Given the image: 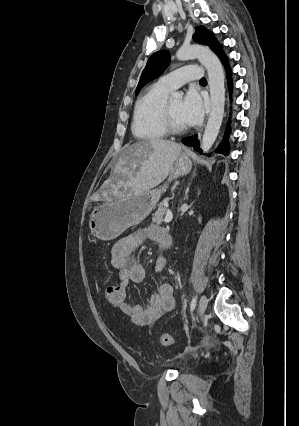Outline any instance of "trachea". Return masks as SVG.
Wrapping results in <instances>:
<instances>
[{"mask_svg":"<svg viewBox=\"0 0 299 426\" xmlns=\"http://www.w3.org/2000/svg\"><path fill=\"white\" fill-rule=\"evenodd\" d=\"M200 83H206V79L203 77V78L200 80Z\"/></svg>","mask_w":299,"mask_h":426,"instance_id":"1","label":"trachea"}]
</instances>
